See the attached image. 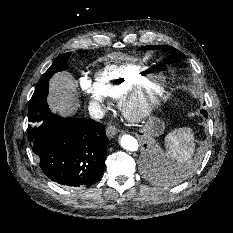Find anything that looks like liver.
<instances>
[{
	"mask_svg": "<svg viewBox=\"0 0 233 233\" xmlns=\"http://www.w3.org/2000/svg\"><path fill=\"white\" fill-rule=\"evenodd\" d=\"M48 104L54 113L62 116H72L77 112V82L69 72L55 74L50 80Z\"/></svg>",
	"mask_w": 233,
	"mask_h": 233,
	"instance_id": "1",
	"label": "liver"
}]
</instances>
